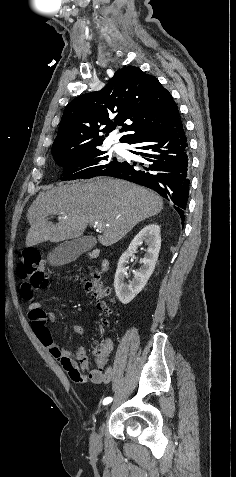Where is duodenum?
<instances>
[{
	"mask_svg": "<svg viewBox=\"0 0 236 477\" xmlns=\"http://www.w3.org/2000/svg\"><path fill=\"white\" fill-rule=\"evenodd\" d=\"M98 253H99V252H98L97 250H94V251L91 253L90 256L94 258V257H96V256L98 255ZM108 268H109L108 262H107V261H104V262L102 263V270H103L104 272H106V271L108 270Z\"/></svg>",
	"mask_w": 236,
	"mask_h": 477,
	"instance_id": "1",
	"label": "duodenum"
}]
</instances>
